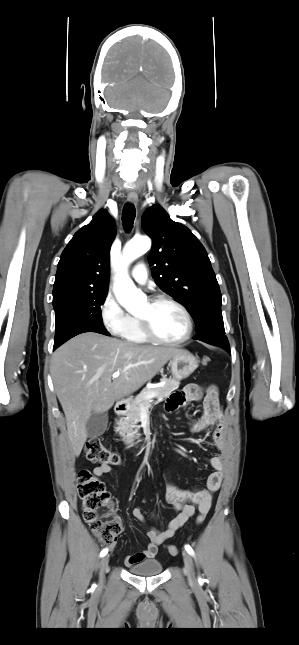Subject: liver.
<instances>
[{"label": "liver", "mask_w": 299, "mask_h": 645, "mask_svg": "<svg viewBox=\"0 0 299 645\" xmlns=\"http://www.w3.org/2000/svg\"><path fill=\"white\" fill-rule=\"evenodd\" d=\"M181 351L136 345L94 332L82 333L57 348L51 376L74 455L82 451L88 437L86 424L93 413L106 412L137 391ZM116 371L121 374L113 378Z\"/></svg>", "instance_id": "6515ba94"}]
</instances>
